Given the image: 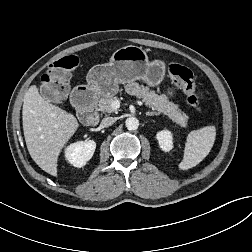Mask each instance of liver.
Here are the masks:
<instances>
[{
  "instance_id": "1",
  "label": "liver",
  "mask_w": 252,
  "mask_h": 252,
  "mask_svg": "<svg viewBox=\"0 0 252 252\" xmlns=\"http://www.w3.org/2000/svg\"><path fill=\"white\" fill-rule=\"evenodd\" d=\"M23 131L31 158L45 172L57 176L58 156L79 127L75 116L53 105L32 86L25 94Z\"/></svg>"
}]
</instances>
